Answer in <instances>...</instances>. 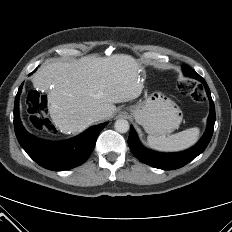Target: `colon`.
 <instances>
[{
  "label": "colon",
  "mask_w": 232,
  "mask_h": 232,
  "mask_svg": "<svg viewBox=\"0 0 232 232\" xmlns=\"http://www.w3.org/2000/svg\"><path fill=\"white\" fill-rule=\"evenodd\" d=\"M178 87L183 94L189 95L195 102H202L204 100V92L199 85L189 80H181ZM26 103L30 123L36 129H43L46 126V98L38 91L31 89L27 93Z\"/></svg>",
  "instance_id": "5ec220e1"
}]
</instances>
